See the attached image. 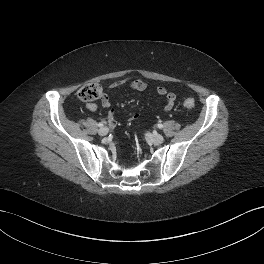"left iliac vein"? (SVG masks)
I'll use <instances>...</instances> for the list:
<instances>
[{
  "label": "left iliac vein",
  "mask_w": 264,
  "mask_h": 264,
  "mask_svg": "<svg viewBox=\"0 0 264 264\" xmlns=\"http://www.w3.org/2000/svg\"><path fill=\"white\" fill-rule=\"evenodd\" d=\"M150 139L155 145H159L164 141V137L161 134H151Z\"/></svg>",
  "instance_id": "obj_1"
}]
</instances>
